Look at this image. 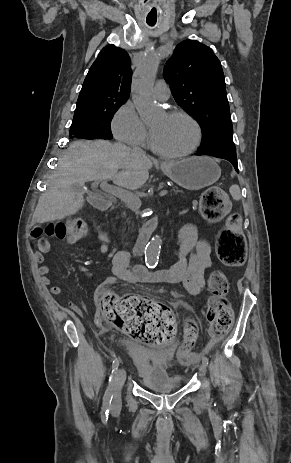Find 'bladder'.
I'll list each match as a JSON object with an SVG mask.
<instances>
[{
	"label": "bladder",
	"instance_id": "1",
	"mask_svg": "<svg viewBox=\"0 0 291 463\" xmlns=\"http://www.w3.org/2000/svg\"><path fill=\"white\" fill-rule=\"evenodd\" d=\"M123 345L135 362L136 374L146 388H180L184 385V377L169 370L171 356L162 357L135 339H125Z\"/></svg>",
	"mask_w": 291,
	"mask_h": 463
}]
</instances>
